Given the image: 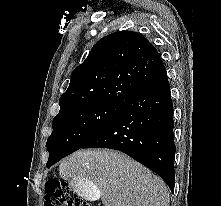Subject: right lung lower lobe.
<instances>
[{"instance_id":"right-lung-lower-lobe-1","label":"right lung lower lobe","mask_w":221,"mask_h":206,"mask_svg":"<svg viewBox=\"0 0 221 206\" xmlns=\"http://www.w3.org/2000/svg\"><path fill=\"white\" fill-rule=\"evenodd\" d=\"M173 104L167 75L125 104L82 148L119 150L156 172L174 191Z\"/></svg>"}]
</instances>
